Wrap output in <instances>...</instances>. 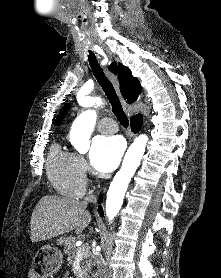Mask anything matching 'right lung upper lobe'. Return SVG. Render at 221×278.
Returning a JSON list of instances; mask_svg holds the SVG:
<instances>
[{
  "instance_id": "right-lung-upper-lobe-1",
  "label": "right lung upper lobe",
  "mask_w": 221,
  "mask_h": 278,
  "mask_svg": "<svg viewBox=\"0 0 221 278\" xmlns=\"http://www.w3.org/2000/svg\"><path fill=\"white\" fill-rule=\"evenodd\" d=\"M118 76L120 90L124 99L127 100V103H133L142 89L138 79L133 77L131 71L122 64L118 65ZM68 109L69 104L67 103L63 106L60 115L57 117L55 122L56 125H59L61 123L64 115L67 114Z\"/></svg>"
}]
</instances>
